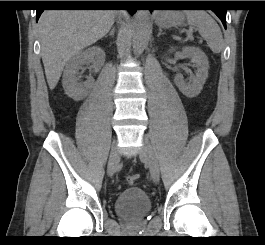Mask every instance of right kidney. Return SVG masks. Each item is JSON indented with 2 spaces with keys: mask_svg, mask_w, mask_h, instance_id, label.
Returning <instances> with one entry per match:
<instances>
[{
  "mask_svg": "<svg viewBox=\"0 0 265 245\" xmlns=\"http://www.w3.org/2000/svg\"><path fill=\"white\" fill-rule=\"evenodd\" d=\"M105 61V52L100 47L93 46L78 52L66 64L63 72V88L65 93L72 99L80 101L87 96V85L78 82V71L87 63H92L95 69Z\"/></svg>",
  "mask_w": 265,
  "mask_h": 245,
  "instance_id": "right-kidney-1",
  "label": "right kidney"
}]
</instances>
